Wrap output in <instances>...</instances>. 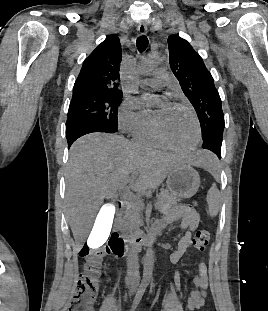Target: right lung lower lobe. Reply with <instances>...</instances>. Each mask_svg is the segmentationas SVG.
Wrapping results in <instances>:
<instances>
[{"label":"right lung lower lobe","instance_id":"right-lung-lower-lobe-1","mask_svg":"<svg viewBox=\"0 0 268 311\" xmlns=\"http://www.w3.org/2000/svg\"><path fill=\"white\" fill-rule=\"evenodd\" d=\"M93 132H106L113 133L107 129L102 128L101 126L92 124V123H80L75 127L66 130V137L68 142V148L72 145V143L78 139L79 137Z\"/></svg>","mask_w":268,"mask_h":311}]
</instances>
